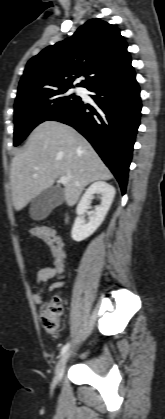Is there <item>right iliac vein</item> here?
Listing matches in <instances>:
<instances>
[{
    "mask_svg": "<svg viewBox=\"0 0 165 419\" xmlns=\"http://www.w3.org/2000/svg\"><path fill=\"white\" fill-rule=\"evenodd\" d=\"M69 355H70V352L65 353L61 357L60 361L57 364V367H56V380H57V382H59L61 380L62 376H63V373H64V370H65V366H66Z\"/></svg>",
    "mask_w": 165,
    "mask_h": 419,
    "instance_id": "1",
    "label": "right iliac vein"
}]
</instances>
